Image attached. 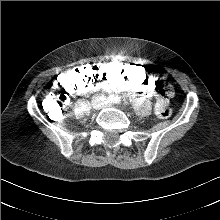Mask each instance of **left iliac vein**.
Wrapping results in <instances>:
<instances>
[{
    "mask_svg": "<svg viewBox=\"0 0 220 220\" xmlns=\"http://www.w3.org/2000/svg\"><path fill=\"white\" fill-rule=\"evenodd\" d=\"M102 105H103V107L112 106V104L109 101H104Z\"/></svg>",
    "mask_w": 220,
    "mask_h": 220,
    "instance_id": "obj_1",
    "label": "left iliac vein"
}]
</instances>
